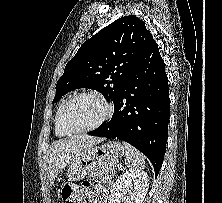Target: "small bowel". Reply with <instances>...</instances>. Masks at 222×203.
I'll return each mask as SVG.
<instances>
[{
	"mask_svg": "<svg viewBox=\"0 0 222 203\" xmlns=\"http://www.w3.org/2000/svg\"><path fill=\"white\" fill-rule=\"evenodd\" d=\"M96 192L98 196H103L106 192L105 187H93L89 183H84L82 186L74 190L73 203H81L84 201L85 196L91 195Z\"/></svg>",
	"mask_w": 222,
	"mask_h": 203,
	"instance_id": "1",
	"label": "small bowel"
}]
</instances>
